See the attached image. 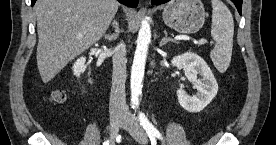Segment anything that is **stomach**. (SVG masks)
Segmentation results:
<instances>
[{
    "label": "stomach",
    "mask_w": 276,
    "mask_h": 145,
    "mask_svg": "<svg viewBox=\"0 0 276 145\" xmlns=\"http://www.w3.org/2000/svg\"><path fill=\"white\" fill-rule=\"evenodd\" d=\"M205 15L201 0H171L162 13L164 23L183 34L197 32L204 24Z\"/></svg>",
    "instance_id": "obj_1"
}]
</instances>
